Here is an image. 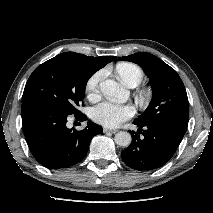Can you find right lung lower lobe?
I'll list each match as a JSON object with an SVG mask.
<instances>
[{"mask_svg": "<svg viewBox=\"0 0 213 213\" xmlns=\"http://www.w3.org/2000/svg\"><path fill=\"white\" fill-rule=\"evenodd\" d=\"M22 123L25 139L34 158L49 169L66 168L79 163L87 154L94 135L102 127L88 122L81 131L66 127L68 115L37 100L22 102ZM84 121L83 114L75 116Z\"/></svg>", "mask_w": 213, "mask_h": 213, "instance_id": "98d812e1", "label": "right lung lower lobe"}]
</instances>
